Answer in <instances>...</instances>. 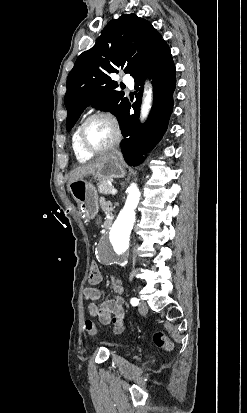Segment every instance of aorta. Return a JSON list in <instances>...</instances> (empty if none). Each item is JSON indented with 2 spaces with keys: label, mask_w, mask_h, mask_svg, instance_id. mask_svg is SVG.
I'll list each match as a JSON object with an SVG mask.
<instances>
[{
  "label": "aorta",
  "mask_w": 247,
  "mask_h": 413,
  "mask_svg": "<svg viewBox=\"0 0 247 413\" xmlns=\"http://www.w3.org/2000/svg\"><path fill=\"white\" fill-rule=\"evenodd\" d=\"M152 101L151 88L144 91L143 104L141 105V120L147 118ZM127 200L123 209L120 211L111 231L110 239L114 243V248L118 254L125 252L129 244V235L135 222V209L140 199V192L135 183H132L127 189Z\"/></svg>",
  "instance_id": "aorta-1"
}]
</instances>
